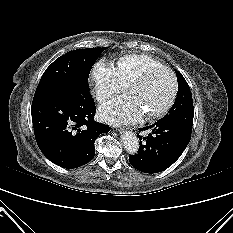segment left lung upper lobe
I'll list each match as a JSON object with an SVG mask.
<instances>
[{"mask_svg": "<svg viewBox=\"0 0 233 233\" xmlns=\"http://www.w3.org/2000/svg\"><path fill=\"white\" fill-rule=\"evenodd\" d=\"M176 76L178 80L177 97L175 103L163 119L173 120L192 129L194 108L190 87L179 71H176Z\"/></svg>", "mask_w": 233, "mask_h": 233, "instance_id": "5c2ea615", "label": "left lung upper lobe"}]
</instances>
